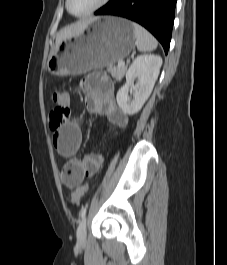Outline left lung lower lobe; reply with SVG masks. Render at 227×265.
<instances>
[{
  "instance_id": "left-lung-lower-lobe-1",
  "label": "left lung lower lobe",
  "mask_w": 227,
  "mask_h": 265,
  "mask_svg": "<svg viewBox=\"0 0 227 265\" xmlns=\"http://www.w3.org/2000/svg\"><path fill=\"white\" fill-rule=\"evenodd\" d=\"M177 0H110L95 15H115L133 20L149 30L162 44L170 46Z\"/></svg>"
}]
</instances>
